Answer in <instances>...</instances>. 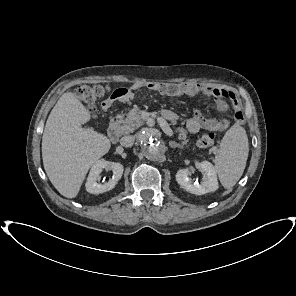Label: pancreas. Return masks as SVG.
<instances>
[{
	"instance_id": "1",
	"label": "pancreas",
	"mask_w": 296,
	"mask_h": 296,
	"mask_svg": "<svg viewBox=\"0 0 296 296\" xmlns=\"http://www.w3.org/2000/svg\"><path fill=\"white\" fill-rule=\"evenodd\" d=\"M141 110L139 108L131 110L128 114H119L116 116L117 124L119 125V130L123 134H128L133 132L138 127L144 124L141 118ZM179 140H181L182 145H186L189 142L187 138V131L184 128L178 127L175 129Z\"/></svg>"
}]
</instances>
